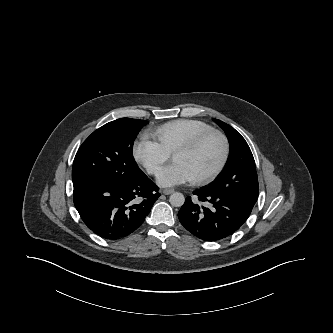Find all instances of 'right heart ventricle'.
Wrapping results in <instances>:
<instances>
[{
  "mask_svg": "<svg viewBox=\"0 0 333 333\" xmlns=\"http://www.w3.org/2000/svg\"><path fill=\"white\" fill-rule=\"evenodd\" d=\"M214 129L210 124L198 119H176L153 130L151 135L169 154L193 137Z\"/></svg>",
  "mask_w": 333,
  "mask_h": 333,
  "instance_id": "1",
  "label": "right heart ventricle"
}]
</instances>
